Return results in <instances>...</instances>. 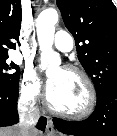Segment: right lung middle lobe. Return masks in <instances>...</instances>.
Here are the masks:
<instances>
[{
    "label": "right lung middle lobe",
    "instance_id": "1",
    "mask_svg": "<svg viewBox=\"0 0 117 136\" xmlns=\"http://www.w3.org/2000/svg\"><path fill=\"white\" fill-rule=\"evenodd\" d=\"M7 58L8 56L0 57V87H16L19 85V66L13 62L6 63Z\"/></svg>",
    "mask_w": 117,
    "mask_h": 136
}]
</instances>
